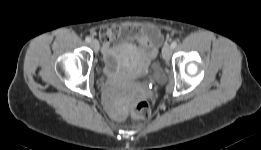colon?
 Returning a JSON list of instances; mask_svg holds the SVG:
<instances>
[{
    "label": "colon",
    "mask_w": 261,
    "mask_h": 150,
    "mask_svg": "<svg viewBox=\"0 0 261 150\" xmlns=\"http://www.w3.org/2000/svg\"><path fill=\"white\" fill-rule=\"evenodd\" d=\"M130 114L136 119H145L150 115V106L145 100H137L130 107Z\"/></svg>",
    "instance_id": "1"
}]
</instances>
